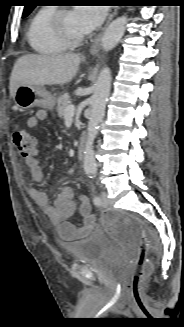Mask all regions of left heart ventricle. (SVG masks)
I'll return each mask as SVG.
<instances>
[{
	"mask_svg": "<svg viewBox=\"0 0 184 327\" xmlns=\"http://www.w3.org/2000/svg\"><path fill=\"white\" fill-rule=\"evenodd\" d=\"M64 25L67 32L72 36L78 37V36L85 35V32L81 29L78 20L73 14V11H70L64 17Z\"/></svg>",
	"mask_w": 184,
	"mask_h": 327,
	"instance_id": "left-heart-ventricle-1",
	"label": "left heart ventricle"
}]
</instances>
